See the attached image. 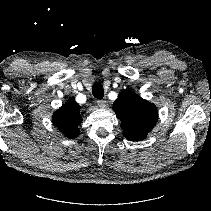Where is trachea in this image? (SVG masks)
<instances>
[{
	"mask_svg": "<svg viewBox=\"0 0 211 211\" xmlns=\"http://www.w3.org/2000/svg\"><path fill=\"white\" fill-rule=\"evenodd\" d=\"M92 94L97 99H102L104 96V88L102 84L95 83L92 87Z\"/></svg>",
	"mask_w": 211,
	"mask_h": 211,
	"instance_id": "3493384b",
	"label": "trachea"
}]
</instances>
